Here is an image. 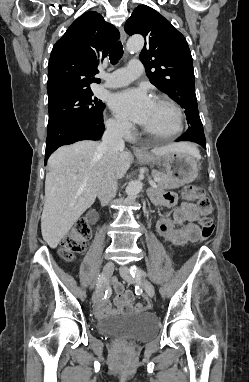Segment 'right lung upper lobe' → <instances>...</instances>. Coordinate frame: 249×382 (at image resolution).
Returning a JSON list of instances; mask_svg holds the SVG:
<instances>
[{
	"mask_svg": "<svg viewBox=\"0 0 249 382\" xmlns=\"http://www.w3.org/2000/svg\"><path fill=\"white\" fill-rule=\"evenodd\" d=\"M120 37L119 31L97 12L77 18L55 43L48 64V103L91 91L97 65Z\"/></svg>",
	"mask_w": 249,
	"mask_h": 382,
	"instance_id": "right-lung-upper-lobe-1",
	"label": "right lung upper lobe"
}]
</instances>
